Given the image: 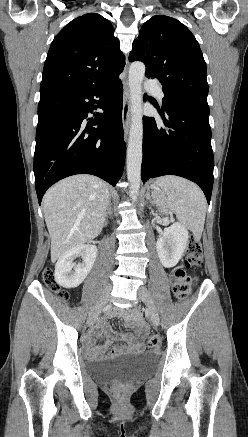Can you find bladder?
Returning a JSON list of instances; mask_svg holds the SVG:
<instances>
[{
	"mask_svg": "<svg viewBox=\"0 0 248 437\" xmlns=\"http://www.w3.org/2000/svg\"><path fill=\"white\" fill-rule=\"evenodd\" d=\"M157 360L154 353L143 352L91 362L88 374L101 382H128L152 370Z\"/></svg>",
	"mask_w": 248,
	"mask_h": 437,
	"instance_id": "bladder-1",
	"label": "bladder"
}]
</instances>
